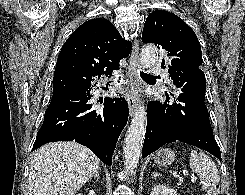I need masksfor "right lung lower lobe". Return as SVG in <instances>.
I'll list each match as a JSON object with an SVG mask.
<instances>
[{
  "instance_id": "98d812e1",
  "label": "right lung lower lobe",
  "mask_w": 245,
  "mask_h": 195,
  "mask_svg": "<svg viewBox=\"0 0 245 195\" xmlns=\"http://www.w3.org/2000/svg\"><path fill=\"white\" fill-rule=\"evenodd\" d=\"M96 84L53 94L37 133L32 151L54 141H75L91 149L107 165L118 137L128 120L125 99L95 100L90 94Z\"/></svg>"
}]
</instances>
